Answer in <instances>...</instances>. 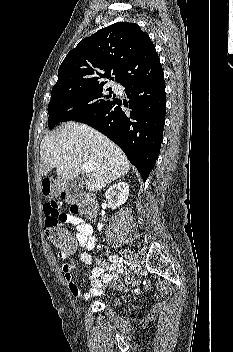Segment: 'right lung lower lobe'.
I'll return each mask as SVG.
<instances>
[{
    "label": "right lung lower lobe",
    "mask_w": 233,
    "mask_h": 352,
    "mask_svg": "<svg viewBox=\"0 0 233 352\" xmlns=\"http://www.w3.org/2000/svg\"><path fill=\"white\" fill-rule=\"evenodd\" d=\"M130 112L115 99L106 108L78 122L92 126L115 142L146 180L155 166L163 138L166 97L163 71L127 84Z\"/></svg>",
    "instance_id": "obj_1"
}]
</instances>
